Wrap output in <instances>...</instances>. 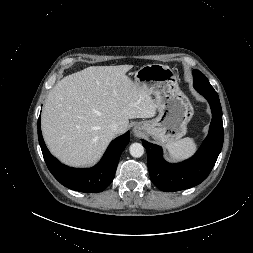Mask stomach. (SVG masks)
<instances>
[{
	"label": "stomach",
	"mask_w": 253,
	"mask_h": 253,
	"mask_svg": "<svg viewBox=\"0 0 253 253\" xmlns=\"http://www.w3.org/2000/svg\"><path fill=\"white\" fill-rule=\"evenodd\" d=\"M134 83L155 96L158 112L156 118L139 123L143 132L167 144L185 136L193 107L180 90L173 70L162 64L144 65L135 72Z\"/></svg>",
	"instance_id": "obj_1"
}]
</instances>
